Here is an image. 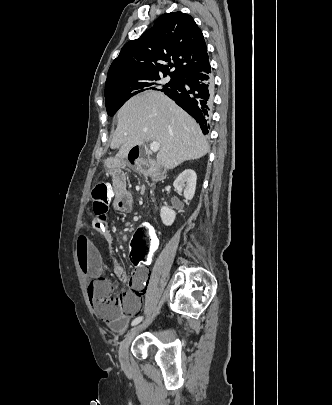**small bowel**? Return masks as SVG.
Listing matches in <instances>:
<instances>
[{
	"label": "small bowel",
	"mask_w": 332,
	"mask_h": 405,
	"mask_svg": "<svg viewBox=\"0 0 332 405\" xmlns=\"http://www.w3.org/2000/svg\"><path fill=\"white\" fill-rule=\"evenodd\" d=\"M112 173L117 191L115 192L116 197L111 198V209L120 214L129 213L133 207V197L126 187L127 173L117 168ZM97 230L102 233L108 244L113 243V237L108 231L104 228H97ZM76 252L81 272L86 279L99 276L102 271V258L95 244L85 236H80L77 240ZM117 271L119 276L128 283L130 291L127 293L131 295V300L126 304L124 314L108 320L113 330L122 331L125 329L129 318L136 315L140 310L141 301L137 294L146 291L149 276L145 267H136L130 276L126 275L120 265L117 267Z\"/></svg>",
	"instance_id": "1"
}]
</instances>
